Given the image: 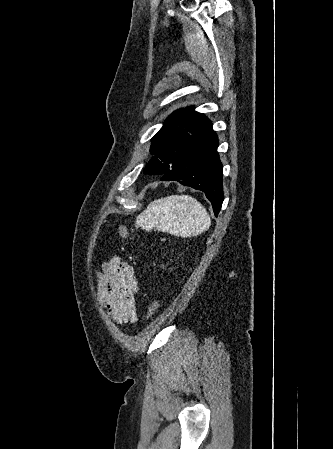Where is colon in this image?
<instances>
[{
  "instance_id": "colon-1",
  "label": "colon",
  "mask_w": 333,
  "mask_h": 449,
  "mask_svg": "<svg viewBox=\"0 0 333 449\" xmlns=\"http://www.w3.org/2000/svg\"><path fill=\"white\" fill-rule=\"evenodd\" d=\"M118 233L120 235V237L126 239L129 237V231L128 228L125 225H120L118 227ZM161 305V301L158 298H153L147 308V312H146V317L148 319H152L156 313L158 312L159 308Z\"/></svg>"
}]
</instances>
